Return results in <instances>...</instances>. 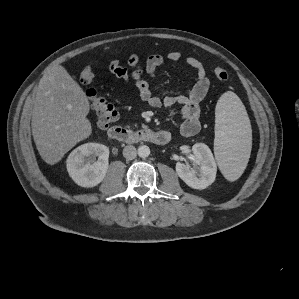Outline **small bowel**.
<instances>
[{"mask_svg":"<svg viewBox=\"0 0 299 299\" xmlns=\"http://www.w3.org/2000/svg\"><path fill=\"white\" fill-rule=\"evenodd\" d=\"M170 62H178L181 60V54L172 51L167 55ZM164 57L160 54L150 55L145 62L144 68L140 65V58L136 53H131L127 59V63L131 70L122 66L119 60L114 59L109 64V69L118 79L125 83L133 81L138 89L140 98L152 107L172 108L180 107L182 123L180 126L184 136H193L200 129L199 115L200 104L206 97L210 79L206 74L203 64L195 57H187L186 64L195 71V84L191 90L185 95L166 96L161 98L155 95L151 89L149 82L143 77L147 74L154 77L157 69L163 64Z\"/></svg>","mask_w":299,"mask_h":299,"instance_id":"small-bowel-1","label":"small bowel"}]
</instances>
